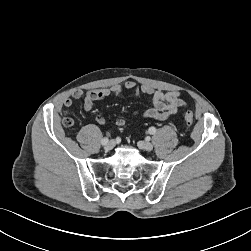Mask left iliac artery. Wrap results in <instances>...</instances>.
<instances>
[{
  "label": "left iliac artery",
  "instance_id": "obj_1",
  "mask_svg": "<svg viewBox=\"0 0 251 251\" xmlns=\"http://www.w3.org/2000/svg\"><path fill=\"white\" fill-rule=\"evenodd\" d=\"M148 133L149 134H155L156 133V128L155 127H150L149 129H148Z\"/></svg>",
  "mask_w": 251,
  "mask_h": 251
}]
</instances>
